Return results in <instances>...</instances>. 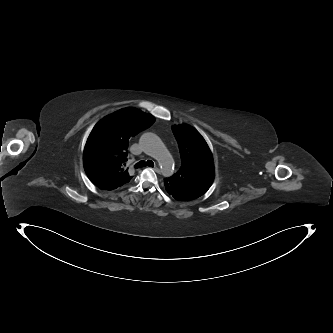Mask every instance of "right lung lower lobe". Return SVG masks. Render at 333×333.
<instances>
[{"mask_svg": "<svg viewBox=\"0 0 333 333\" xmlns=\"http://www.w3.org/2000/svg\"><path fill=\"white\" fill-rule=\"evenodd\" d=\"M86 171H87V172H86ZM86 171H85L86 174L88 173V175H90V174H89V168L86 167ZM90 177H91V176H90ZM91 179H92V180H91ZM91 179H90V180H91L92 182L96 181V180H94V178H91Z\"/></svg>", "mask_w": 333, "mask_h": 333, "instance_id": "98d812e1", "label": "right lung lower lobe"}]
</instances>
